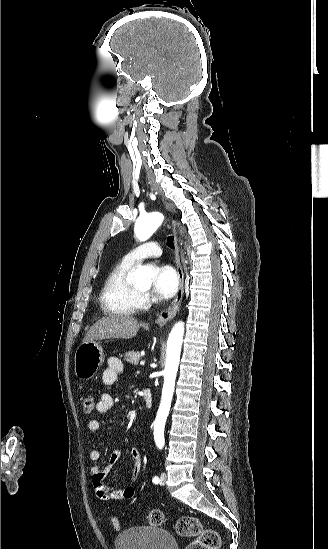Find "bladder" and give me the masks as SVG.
<instances>
[{"label":"bladder","mask_w":328,"mask_h":549,"mask_svg":"<svg viewBox=\"0 0 328 549\" xmlns=\"http://www.w3.org/2000/svg\"><path fill=\"white\" fill-rule=\"evenodd\" d=\"M131 532V536L118 535L116 549H176L173 535L161 528L138 526Z\"/></svg>","instance_id":"bladder-1"}]
</instances>
